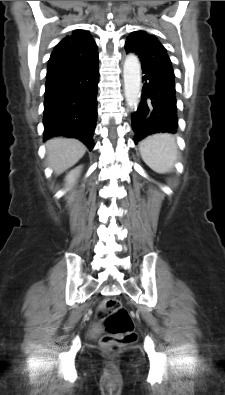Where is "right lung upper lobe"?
Listing matches in <instances>:
<instances>
[{
    "label": "right lung upper lobe",
    "instance_id": "cb5924a9",
    "mask_svg": "<svg viewBox=\"0 0 225 395\" xmlns=\"http://www.w3.org/2000/svg\"><path fill=\"white\" fill-rule=\"evenodd\" d=\"M97 59V46L92 36L87 31L74 30L55 46L48 61L46 77L83 69Z\"/></svg>",
    "mask_w": 225,
    "mask_h": 395
}]
</instances>
